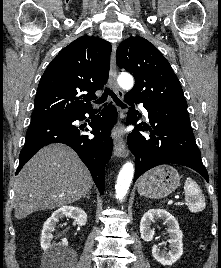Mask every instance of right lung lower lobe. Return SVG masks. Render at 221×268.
Masks as SVG:
<instances>
[{
	"label": "right lung lower lobe",
	"instance_id": "98d812e1",
	"mask_svg": "<svg viewBox=\"0 0 221 268\" xmlns=\"http://www.w3.org/2000/svg\"><path fill=\"white\" fill-rule=\"evenodd\" d=\"M92 111L91 108L68 117L32 120L26 133V143L20 152V163L16 175L39 149L51 143H64L76 151L88 167L100 193L103 194L104 168L111 158L113 145L109 131L116 123L117 110L109 104L100 114L93 117L90 127L91 133L96 137L89 139L88 135L82 133L84 127H77L73 122L84 120L85 113L91 115ZM86 131H88L87 128Z\"/></svg>",
	"mask_w": 221,
	"mask_h": 268
}]
</instances>
